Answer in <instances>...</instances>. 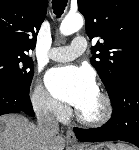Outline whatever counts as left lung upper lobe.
Segmentation results:
<instances>
[{"mask_svg":"<svg viewBox=\"0 0 139 150\" xmlns=\"http://www.w3.org/2000/svg\"><path fill=\"white\" fill-rule=\"evenodd\" d=\"M92 39L91 64L112 97L123 78L139 68V0H78ZM96 52H99L96 54Z\"/></svg>","mask_w":139,"mask_h":150,"instance_id":"1","label":"left lung upper lobe"}]
</instances>
